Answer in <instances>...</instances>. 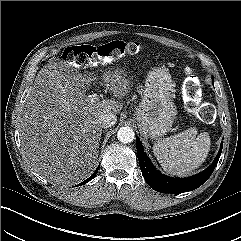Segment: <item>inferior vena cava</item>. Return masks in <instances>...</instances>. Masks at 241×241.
Masks as SVG:
<instances>
[{
    "instance_id": "1",
    "label": "inferior vena cava",
    "mask_w": 241,
    "mask_h": 241,
    "mask_svg": "<svg viewBox=\"0 0 241 241\" xmlns=\"http://www.w3.org/2000/svg\"><path fill=\"white\" fill-rule=\"evenodd\" d=\"M116 115L111 112H104L99 115L98 123L102 128L111 127L116 123Z\"/></svg>"
}]
</instances>
